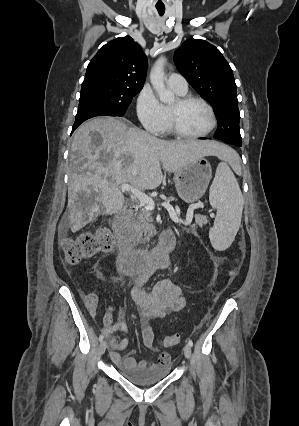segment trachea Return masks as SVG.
I'll list each match as a JSON object with an SVG mask.
<instances>
[{"instance_id": "1", "label": "trachea", "mask_w": 299, "mask_h": 426, "mask_svg": "<svg viewBox=\"0 0 299 426\" xmlns=\"http://www.w3.org/2000/svg\"><path fill=\"white\" fill-rule=\"evenodd\" d=\"M157 11H158L160 16H163L164 13H165V8H157Z\"/></svg>"}]
</instances>
